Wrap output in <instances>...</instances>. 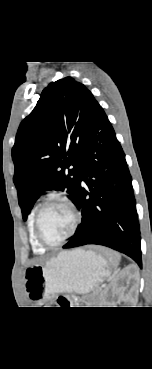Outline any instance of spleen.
I'll list each match as a JSON object with an SVG mask.
<instances>
[{
  "label": "spleen",
  "instance_id": "1",
  "mask_svg": "<svg viewBox=\"0 0 152 369\" xmlns=\"http://www.w3.org/2000/svg\"><path fill=\"white\" fill-rule=\"evenodd\" d=\"M104 253L107 254V255H109V258H110V261H111L112 264H114V265H117L118 264V262H119V260L121 258L118 253L113 252V251H109V250L104 251Z\"/></svg>",
  "mask_w": 152,
  "mask_h": 369
}]
</instances>
